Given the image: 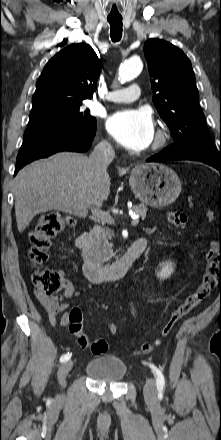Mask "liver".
Returning <instances> with one entry per match:
<instances>
[{"label":"liver","mask_w":221,"mask_h":440,"mask_svg":"<svg viewBox=\"0 0 221 440\" xmlns=\"http://www.w3.org/2000/svg\"><path fill=\"white\" fill-rule=\"evenodd\" d=\"M110 177H98L88 156L60 152L24 167L14 180L18 231L40 213L63 211L84 218L110 194Z\"/></svg>","instance_id":"liver-1"}]
</instances>
